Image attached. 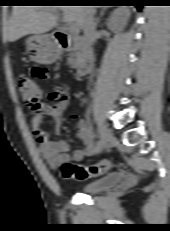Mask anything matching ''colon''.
<instances>
[{"instance_id": "1", "label": "colon", "mask_w": 170, "mask_h": 231, "mask_svg": "<svg viewBox=\"0 0 170 231\" xmlns=\"http://www.w3.org/2000/svg\"><path fill=\"white\" fill-rule=\"evenodd\" d=\"M17 88L22 101L30 110H37L41 97L37 83L30 76L21 75L17 80ZM110 167L111 161L109 160H102L90 166L66 162L60 166V172L65 179L83 181L107 172Z\"/></svg>"}]
</instances>
